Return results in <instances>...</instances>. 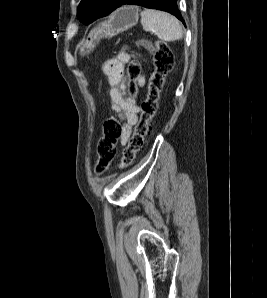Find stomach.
<instances>
[{
	"label": "stomach",
	"instance_id": "stomach-1",
	"mask_svg": "<svg viewBox=\"0 0 267 298\" xmlns=\"http://www.w3.org/2000/svg\"><path fill=\"white\" fill-rule=\"evenodd\" d=\"M135 6H123L115 10L106 21L99 24L80 48L81 55L89 54L102 38L122 33L138 22L139 13Z\"/></svg>",
	"mask_w": 267,
	"mask_h": 298
}]
</instances>
